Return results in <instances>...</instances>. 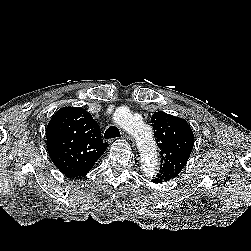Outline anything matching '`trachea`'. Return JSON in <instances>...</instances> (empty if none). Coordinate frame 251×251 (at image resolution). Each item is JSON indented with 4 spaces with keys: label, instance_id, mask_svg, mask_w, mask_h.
Listing matches in <instances>:
<instances>
[{
    "label": "trachea",
    "instance_id": "3493384b",
    "mask_svg": "<svg viewBox=\"0 0 251 251\" xmlns=\"http://www.w3.org/2000/svg\"><path fill=\"white\" fill-rule=\"evenodd\" d=\"M120 131L116 126H110L104 134V137L106 139H113V138H117L120 137Z\"/></svg>",
    "mask_w": 251,
    "mask_h": 251
}]
</instances>
